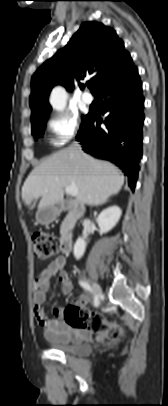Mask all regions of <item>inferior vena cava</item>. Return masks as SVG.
I'll use <instances>...</instances> for the list:
<instances>
[{
  "label": "inferior vena cava",
  "mask_w": 168,
  "mask_h": 406,
  "mask_svg": "<svg viewBox=\"0 0 168 406\" xmlns=\"http://www.w3.org/2000/svg\"><path fill=\"white\" fill-rule=\"evenodd\" d=\"M71 148H72L75 152H77V153H81V152H82L81 146H80L77 142H74V143L71 145Z\"/></svg>",
  "instance_id": "obj_1"
}]
</instances>
